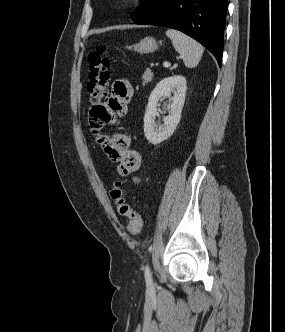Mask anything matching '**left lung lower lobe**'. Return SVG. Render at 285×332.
Returning <instances> with one entry per match:
<instances>
[{
	"instance_id": "obj_1",
	"label": "left lung lower lobe",
	"mask_w": 285,
	"mask_h": 332,
	"mask_svg": "<svg viewBox=\"0 0 285 332\" xmlns=\"http://www.w3.org/2000/svg\"><path fill=\"white\" fill-rule=\"evenodd\" d=\"M228 0H160L136 24H149L179 30L206 47L222 61L223 32Z\"/></svg>"
}]
</instances>
